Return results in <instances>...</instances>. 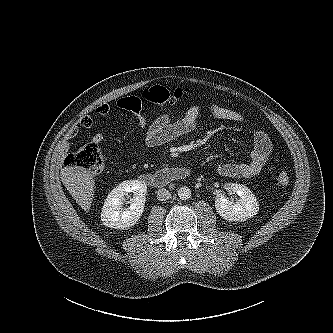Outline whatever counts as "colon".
Here are the masks:
<instances>
[{"label": "colon", "instance_id": "1", "mask_svg": "<svg viewBox=\"0 0 333 333\" xmlns=\"http://www.w3.org/2000/svg\"><path fill=\"white\" fill-rule=\"evenodd\" d=\"M185 94V90L176 89L170 92L162 86H153L143 92V97L161 107L174 106ZM65 165L87 170L90 173H99L104 166V157L97 144L89 143L78 150L70 153L65 158ZM277 182L281 186L289 183V175L285 171H281L277 176Z\"/></svg>", "mask_w": 333, "mask_h": 333}]
</instances>
